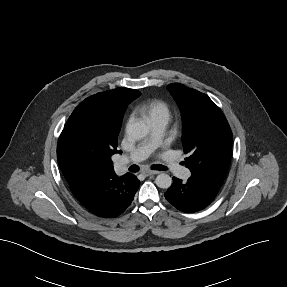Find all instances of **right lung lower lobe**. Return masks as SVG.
Masks as SVG:
<instances>
[{"label":"right lung lower lobe","mask_w":287,"mask_h":287,"mask_svg":"<svg viewBox=\"0 0 287 287\" xmlns=\"http://www.w3.org/2000/svg\"><path fill=\"white\" fill-rule=\"evenodd\" d=\"M140 181L132 174H116L70 187L80 204L92 214L114 218L131 204Z\"/></svg>","instance_id":"right-lung-lower-lobe-1"}]
</instances>
